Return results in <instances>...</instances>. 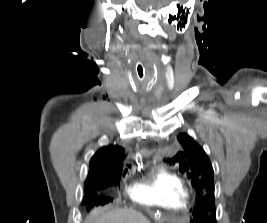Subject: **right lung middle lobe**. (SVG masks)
I'll list each match as a JSON object with an SVG mask.
<instances>
[{"instance_id":"1","label":"right lung middle lobe","mask_w":267,"mask_h":223,"mask_svg":"<svg viewBox=\"0 0 267 223\" xmlns=\"http://www.w3.org/2000/svg\"><path fill=\"white\" fill-rule=\"evenodd\" d=\"M126 172V171H125ZM122 172H112L110 174H108L107 176L103 177L100 181H102L105 185L104 186H110L112 184H115L117 182H119L120 177H121ZM87 199H92L93 203H100V204H104V203H108V202H112L111 198H107L104 196L98 197L96 195V192L88 194L86 196V198L84 197L83 199V204L86 203ZM91 201V203H92Z\"/></svg>"}]
</instances>
